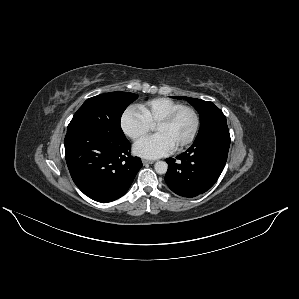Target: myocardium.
Segmentation results:
<instances>
[{
  "label": "myocardium",
  "mask_w": 299,
  "mask_h": 299,
  "mask_svg": "<svg viewBox=\"0 0 299 299\" xmlns=\"http://www.w3.org/2000/svg\"><path fill=\"white\" fill-rule=\"evenodd\" d=\"M190 111L195 119V124H194V128L192 130V133L190 134V136L184 141L182 142L180 145L176 146L174 149L175 150H181L186 148L187 146H189L194 139L197 136V133L199 131L200 128V116L199 113L197 112V110L194 107L191 106H182L179 107L175 110H173L172 112H170L168 115H166L164 118H162L157 124L156 127L161 126V125H168L170 123H172L175 118L183 111Z\"/></svg>",
  "instance_id": "1"
}]
</instances>
